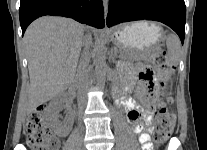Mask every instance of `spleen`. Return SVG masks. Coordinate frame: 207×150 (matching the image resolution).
<instances>
[{"label": "spleen", "instance_id": "obj_1", "mask_svg": "<svg viewBox=\"0 0 207 150\" xmlns=\"http://www.w3.org/2000/svg\"><path fill=\"white\" fill-rule=\"evenodd\" d=\"M166 45L168 49V61L171 64H177L180 58L181 43L179 38L174 34L166 37Z\"/></svg>", "mask_w": 207, "mask_h": 150}]
</instances>
